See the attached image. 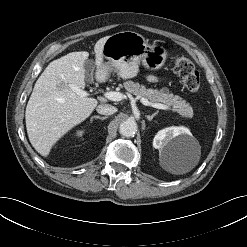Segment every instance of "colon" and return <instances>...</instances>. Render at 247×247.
Returning a JSON list of instances; mask_svg holds the SVG:
<instances>
[{"mask_svg": "<svg viewBox=\"0 0 247 247\" xmlns=\"http://www.w3.org/2000/svg\"><path fill=\"white\" fill-rule=\"evenodd\" d=\"M174 71L180 77L183 85L192 92L200 87V75L193 63L186 57L177 56L174 59Z\"/></svg>", "mask_w": 247, "mask_h": 247, "instance_id": "1", "label": "colon"}]
</instances>
